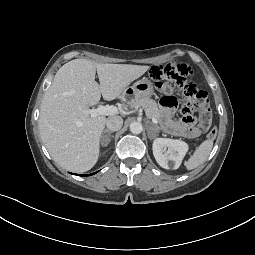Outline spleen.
Masks as SVG:
<instances>
[{
  "mask_svg": "<svg viewBox=\"0 0 255 255\" xmlns=\"http://www.w3.org/2000/svg\"><path fill=\"white\" fill-rule=\"evenodd\" d=\"M213 148V140L207 139L203 141L194 151L193 155L185 161L184 165L187 170H193L200 166L209 156Z\"/></svg>",
  "mask_w": 255,
  "mask_h": 255,
  "instance_id": "obj_1",
  "label": "spleen"
}]
</instances>
